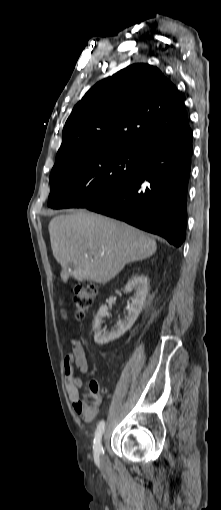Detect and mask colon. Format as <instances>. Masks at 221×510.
Segmentation results:
<instances>
[{"label":"colon","mask_w":221,"mask_h":510,"mask_svg":"<svg viewBox=\"0 0 221 510\" xmlns=\"http://www.w3.org/2000/svg\"><path fill=\"white\" fill-rule=\"evenodd\" d=\"M97 288L92 284L79 285L74 297V315L77 320L85 318L96 296ZM65 315V312H63ZM89 408L96 409L102 401L100 388L95 380L89 384V394L84 399Z\"/></svg>","instance_id":"obj_1"}]
</instances>
